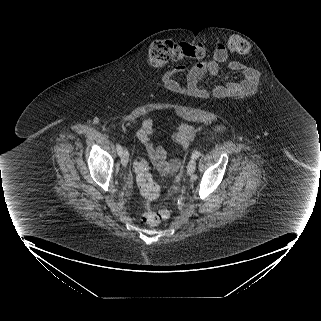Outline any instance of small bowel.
Segmentation results:
<instances>
[{
    "instance_id": "small-bowel-1",
    "label": "small bowel",
    "mask_w": 321,
    "mask_h": 321,
    "mask_svg": "<svg viewBox=\"0 0 321 321\" xmlns=\"http://www.w3.org/2000/svg\"><path fill=\"white\" fill-rule=\"evenodd\" d=\"M223 67H231L232 71L238 75L244 76L238 82H232L216 85L212 89L211 95L216 99L223 96L242 97L248 92L253 91L259 85L260 75L238 62H231L229 55L222 43L215 48L212 59L198 63L188 71L185 66H178L164 75L166 85L172 90H185L189 96H194L197 100H203L207 96V91L197 85L201 77L207 74H216ZM186 72L184 83H180L176 76ZM210 95V94H208ZM154 132V122L152 119H145L137 130V138L144 146L149 158L156 164L161 174L168 175L177 172L180 169L181 161L178 158L168 159L166 150L161 146L153 144L151 137ZM195 136V129L188 124H181L172 136V140L177 147L186 148Z\"/></svg>"
}]
</instances>
